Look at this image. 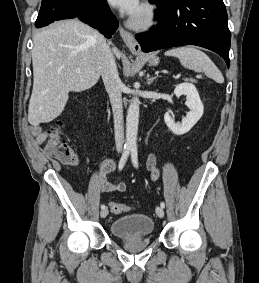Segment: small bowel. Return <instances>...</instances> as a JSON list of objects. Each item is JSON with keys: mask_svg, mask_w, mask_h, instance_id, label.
I'll use <instances>...</instances> for the list:
<instances>
[{"mask_svg": "<svg viewBox=\"0 0 259 283\" xmlns=\"http://www.w3.org/2000/svg\"><path fill=\"white\" fill-rule=\"evenodd\" d=\"M32 133L38 143L44 142L48 136L49 131L43 130L41 127L35 126L32 128ZM116 167V162L111 158H104L97 170L98 189L103 193H119L126 190L124 182H111L108 181L107 175L112 172ZM147 167L151 171L152 179L158 178V170L156 167V158L150 155L147 159Z\"/></svg>", "mask_w": 259, "mask_h": 283, "instance_id": "c3829d8e", "label": "small bowel"}]
</instances>
